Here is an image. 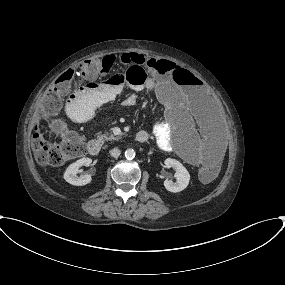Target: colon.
Returning a JSON list of instances; mask_svg holds the SVG:
<instances>
[{
    "label": "colon",
    "mask_w": 285,
    "mask_h": 285,
    "mask_svg": "<svg viewBox=\"0 0 285 285\" xmlns=\"http://www.w3.org/2000/svg\"><path fill=\"white\" fill-rule=\"evenodd\" d=\"M114 61L115 59L110 56L102 59H89L83 62L77 70L69 69L62 73L38 102L39 115L45 117L55 115L71 86H78L104 77L111 71ZM152 67L162 76L171 75L180 85L187 84L188 79L191 78L188 71L170 61L147 60L128 64L126 71L115 74L112 80L116 83H131L134 87H143L148 82L147 68ZM32 146L36 160L42 165L58 166L86 154V146L82 137L75 130L65 127H59L53 136L47 138L38 126L32 136ZM219 169V161L214 160L201 167L200 177L203 181H210L218 174Z\"/></svg>",
    "instance_id": "colon-1"
}]
</instances>
